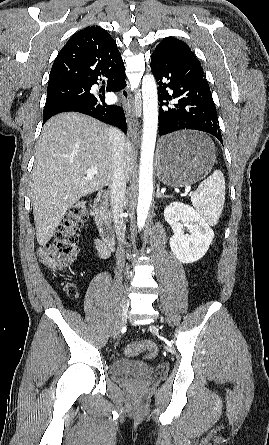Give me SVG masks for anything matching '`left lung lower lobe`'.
<instances>
[{"label": "left lung lower lobe", "instance_id": "obj_1", "mask_svg": "<svg viewBox=\"0 0 269 445\" xmlns=\"http://www.w3.org/2000/svg\"><path fill=\"white\" fill-rule=\"evenodd\" d=\"M150 67L159 84V136L190 129L222 142L216 107L198 59L153 53ZM170 100L175 103L169 104Z\"/></svg>", "mask_w": 269, "mask_h": 445}]
</instances>
